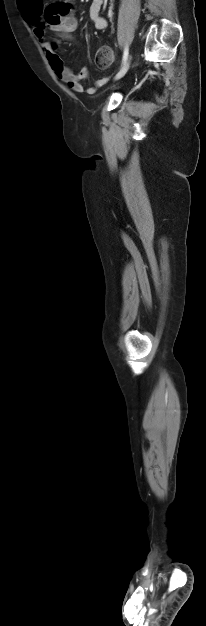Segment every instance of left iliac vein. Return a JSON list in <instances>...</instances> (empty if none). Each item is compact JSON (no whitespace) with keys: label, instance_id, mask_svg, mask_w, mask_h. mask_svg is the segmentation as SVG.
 <instances>
[{"label":"left iliac vein","instance_id":"obj_1","mask_svg":"<svg viewBox=\"0 0 206 626\" xmlns=\"http://www.w3.org/2000/svg\"><path fill=\"white\" fill-rule=\"evenodd\" d=\"M130 63H131V57L128 58V60L124 63L123 67L116 74V76L114 78L115 80H118V79L122 78L126 74V72L128 71V69L130 67Z\"/></svg>","mask_w":206,"mask_h":626}]
</instances>
